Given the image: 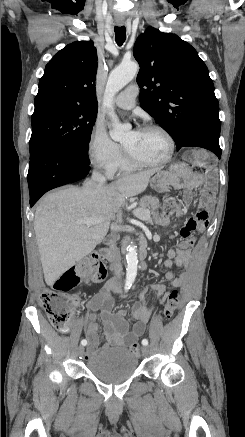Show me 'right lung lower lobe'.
Masks as SVG:
<instances>
[{
  "mask_svg": "<svg viewBox=\"0 0 245 437\" xmlns=\"http://www.w3.org/2000/svg\"><path fill=\"white\" fill-rule=\"evenodd\" d=\"M88 154L68 153L54 146H44L30 156L28 186L30 205L47 191L76 182L90 170Z\"/></svg>",
  "mask_w": 245,
  "mask_h": 437,
  "instance_id": "1",
  "label": "right lung lower lobe"
}]
</instances>
